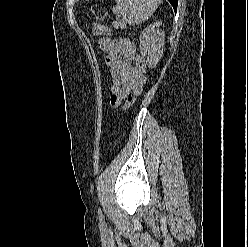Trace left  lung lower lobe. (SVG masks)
Segmentation results:
<instances>
[{"label": "left lung lower lobe", "instance_id": "left-lung-lower-lobe-1", "mask_svg": "<svg viewBox=\"0 0 248 247\" xmlns=\"http://www.w3.org/2000/svg\"><path fill=\"white\" fill-rule=\"evenodd\" d=\"M168 1L171 3V5H172L173 8H174V11L176 12L178 0H168Z\"/></svg>", "mask_w": 248, "mask_h": 247}]
</instances>
